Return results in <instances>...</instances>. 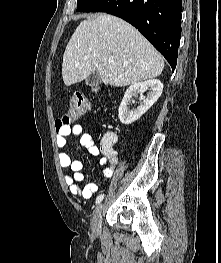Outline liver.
I'll return each mask as SVG.
<instances>
[{"instance_id": "1", "label": "liver", "mask_w": 221, "mask_h": 263, "mask_svg": "<svg viewBox=\"0 0 221 263\" xmlns=\"http://www.w3.org/2000/svg\"><path fill=\"white\" fill-rule=\"evenodd\" d=\"M163 69L162 56L137 29L99 14L76 28L63 54L62 76L70 86L97 71L105 85L123 87L158 77Z\"/></svg>"}]
</instances>
